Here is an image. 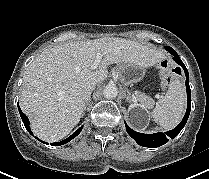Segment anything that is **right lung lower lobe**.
Returning a JSON list of instances; mask_svg holds the SVG:
<instances>
[{"mask_svg":"<svg viewBox=\"0 0 209 179\" xmlns=\"http://www.w3.org/2000/svg\"><path fill=\"white\" fill-rule=\"evenodd\" d=\"M18 109H19V113H20L21 119H22V121H23V123H24V125H25V127H26V129H27V131H28L31 135H33V133H32L31 130H30L29 119H28L27 116L21 111L19 105H18ZM81 130H82V127L79 128L77 131H75L71 136H69V137L66 138L65 140H62V141H60V142L51 143V145H53V146H58V145L66 144V143H68L69 141H71L73 138H75V137L81 132ZM35 138H37V137H35ZM37 139H38V138H37ZM38 140H39V139H38ZM39 141H41V140H39ZM41 142H43V141H41ZM43 143H45V142H43ZM45 144H48V143H45Z\"/></svg>","mask_w":209,"mask_h":179,"instance_id":"1","label":"right lung lower lobe"}]
</instances>
